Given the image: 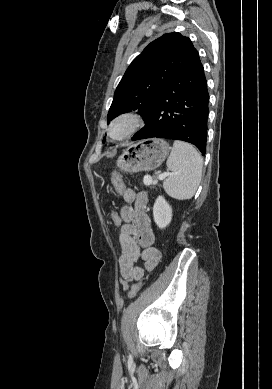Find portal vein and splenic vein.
<instances>
[{
    "instance_id": "portal-vein-and-splenic-vein-1",
    "label": "portal vein and splenic vein",
    "mask_w": 272,
    "mask_h": 389,
    "mask_svg": "<svg viewBox=\"0 0 272 389\" xmlns=\"http://www.w3.org/2000/svg\"><path fill=\"white\" fill-rule=\"evenodd\" d=\"M168 175H169V173H166V172H165V173H161V174L158 176V179H159V180H163V179H165ZM144 182L150 184V183L153 182V180H152L151 177L148 178V176H145V177H144ZM154 183H156V181H154Z\"/></svg>"
}]
</instances>
